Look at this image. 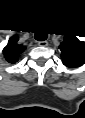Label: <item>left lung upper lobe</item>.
Returning <instances> with one entry per match:
<instances>
[{"mask_svg":"<svg viewBox=\"0 0 85 118\" xmlns=\"http://www.w3.org/2000/svg\"><path fill=\"white\" fill-rule=\"evenodd\" d=\"M60 49L62 52L61 57L63 59L64 65L68 67L76 66L75 55H74L73 50L67 45L60 46Z\"/></svg>","mask_w":85,"mask_h":118,"instance_id":"obj_1","label":"left lung upper lobe"}]
</instances>
